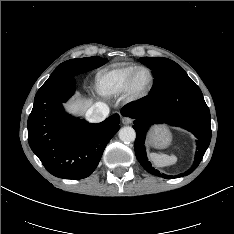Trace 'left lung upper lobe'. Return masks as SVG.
<instances>
[{
	"label": "left lung upper lobe",
	"instance_id": "obj_1",
	"mask_svg": "<svg viewBox=\"0 0 234 234\" xmlns=\"http://www.w3.org/2000/svg\"><path fill=\"white\" fill-rule=\"evenodd\" d=\"M139 61L153 71L155 85L152 92L163 89L176 81L188 78L183 68L170 59L142 57Z\"/></svg>",
	"mask_w": 234,
	"mask_h": 234
}]
</instances>
